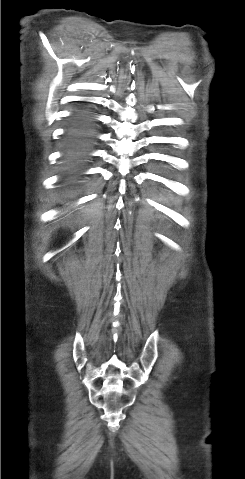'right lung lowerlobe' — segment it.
Instances as JSON below:
<instances>
[{"label":"right lung lower lobe","mask_w":245,"mask_h":479,"mask_svg":"<svg viewBox=\"0 0 245 479\" xmlns=\"http://www.w3.org/2000/svg\"><path fill=\"white\" fill-rule=\"evenodd\" d=\"M97 121L92 108L83 106L73 113L64 136L63 179L65 190H73L97 136Z\"/></svg>","instance_id":"right-lung-lower-lobe-1"}]
</instances>
